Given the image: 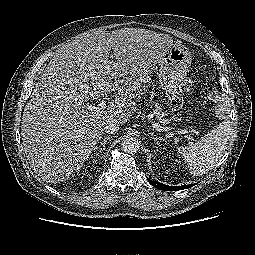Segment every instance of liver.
Returning <instances> with one entry per match:
<instances>
[{
	"label": "liver",
	"instance_id": "liver-1",
	"mask_svg": "<svg viewBox=\"0 0 255 255\" xmlns=\"http://www.w3.org/2000/svg\"><path fill=\"white\" fill-rule=\"evenodd\" d=\"M174 45L168 34L123 28L82 33L60 47L28 100L21 125L27 159L47 183L83 167L108 121L125 124L146 91L152 70ZM113 50L116 61L109 60ZM115 91L106 109L90 112L85 101Z\"/></svg>",
	"mask_w": 255,
	"mask_h": 255
}]
</instances>
